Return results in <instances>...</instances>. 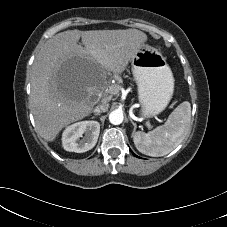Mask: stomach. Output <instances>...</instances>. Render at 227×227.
<instances>
[{
  "label": "stomach",
  "instance_id": "0dacf381",
  "mask_svg": "<svg viewBox=\"0 0 227 227\" xmlns=\"http://www.w3.org/2000/svg\"><path fill=\"white\" fill-rule=\"evenodd\" d=\"M131 67L138 86L141 115L150 118L161 113L174 91V78L166 58L155 48L143 44L132 56Z\"/></svg>",
  "mask_w": 227,
  "mask_h": 227
}]
</instances>
